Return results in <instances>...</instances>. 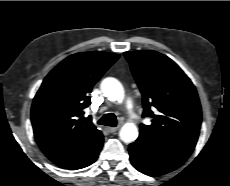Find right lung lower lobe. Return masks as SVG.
I'll return each instance as SVG.
<instances>
[{"mask_svg":"<svg viewBox=\"0 0 230 186\" xmlns=\"http://www.w3.org/2000/svg\"><path fill=\"white\" fill-rule=\"evenodd\" d=\"M102 144H103V141L87 157H85L81 162H79L75 166L70 167L68 169L76 170V169L87 167L90 164H92L97 159L99 152L102 148Z\"/></svg>","mask_w":230,"mask_h":186,"instance_id":"1","label":"right lung lower lobe"}]
</instances>
